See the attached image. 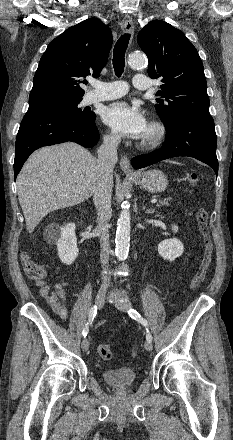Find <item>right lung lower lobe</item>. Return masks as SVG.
<instances>
[{"mask_svg":"<svg viewBox=\"0 0 233 440\" xmlns=\"http://www.w3.org/2000/svg\"><path fill=\"white\" fill-rule=\"evenodd\" d=\"M99 140L95 118L86 122L56 110H29L16 138L14 175L36 149L66 141L93 147Z\"/></svg>","mask_w":233,"mask_h":440,"instance_id":"obj_1","label":"right lung lower lobe"}]
</instances>
